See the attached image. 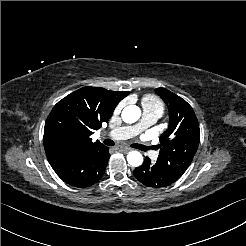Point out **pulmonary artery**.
<instances>
[{
  "mask_svg": "<svg viewBox=\"0 0 246 246\" xmlns=\"http://www.w3.org/2000/svg\"><path fill=\"white\" fill-rule=\"evenodd\" d=\"M160 117L159 113L154 111H144L142 123L135 127H121L113 130L109 133V136L114 139H126L138 134L141 128L151 125L157 121ZM145 151L152 152L151 148H147Z\"/></svg>",
  "mask_w": 246,
  "mask_h": 246,
  "instance_id": "pulmonary-artery-1",
  "label": "pulmonary artery"
}]
</instances>
